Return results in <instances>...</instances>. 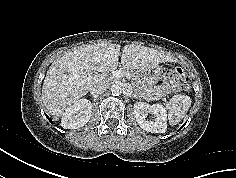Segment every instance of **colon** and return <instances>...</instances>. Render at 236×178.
Masks as SVG:
<instances>
[{
  "label": "colon",
  "instance_id": "1",
  "mask_svg": "<svg viewBox=\"0 0 236 178\" xmlns=\"http://www.w3.org/2000/svg\"><path fill=\"white\" fill-rule=\"evenodd\" d=\"M168 75H183V89L188 92L190 90V78L188 75L183 74L182 69L179 67H170L167 70Z\"/></svg>",
  "mask_w": 236,
  "mask_h": 178
}]
</instances>
